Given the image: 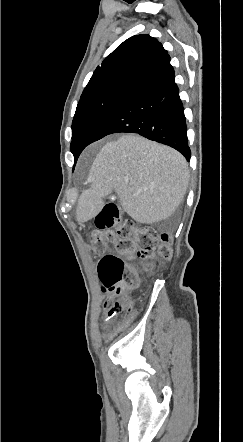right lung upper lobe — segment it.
<instances>
[{
  "label": "right lung upper lobe",
  "instance_id": "1",
  "mask_svg": "<svg viewBox=\"0 0 243 442\" xmlns=\"http://www.w3.org/2000/svg\"><path fill=\"white\" fill-rule=\"evenodd\" d=\"M170 67V56L160 42L149 35L132 36L96 68L80 102L115 91H132Z\"/></svg>",
  "mask_w": 243,
  "mask_h": 442
}]
</instances>
